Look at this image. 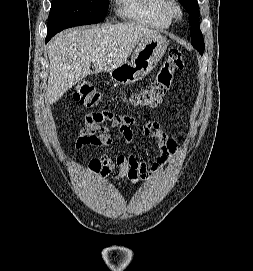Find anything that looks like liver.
<instances>
[{
  "instance_id": "obj_1",
  "label": "liver",
  "mask_w": 253,
  "mask_h": 271,
  "mask_svg": "<svg viewBox=\"0 0 253 271\" xmlns=\"http://www.w3.org/2000/svg\"><path fill=\"white\" fill-rule=\"evenodd\" d=\"M158 31L135 23L76 27L57 34L48 44L50 71L47 101L53 104L79 81L95 72L111 71L127 61L134 47Z\"/></svg>"
}]
</instances>
